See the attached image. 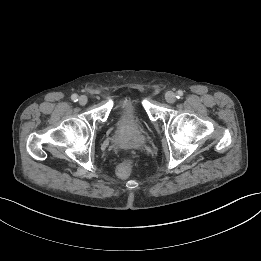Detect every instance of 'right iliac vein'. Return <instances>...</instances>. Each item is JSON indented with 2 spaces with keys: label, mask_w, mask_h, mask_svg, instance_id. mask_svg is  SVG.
<instances>
[{
  "label": "right iliac vein",
  "mask_w": 261,
  "mask_h": 261,
  "mask_svg": "<svg viewBox=\"0 0 261 261\" xmlns=\"http://www.w3.org/2000/svg\"><path fill=\"white\" fill-rule=\"evenodd\" d=\"M88 102V98L85 95H82L79 97V104L84 106L86 105Z\"/></svg>",
  "instance_id": "63e3f726"
}]
</instances>
